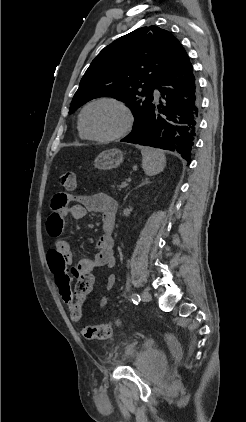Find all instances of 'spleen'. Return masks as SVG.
<instances>
[{
    "instance_id": "1",
    "label": "spleen",
    "mask_w": 246,
    "mask_h": 422,
    "mask_svg": "<svg viewBox=\"0 0 246 422\" xmlns=\"http://www.w3.org/2000/svg\"><path fill=\"white\" fill-rule=\"evenodd\" d=\"M141 153L143 157L142 167L147 175L153 176L163 171L166 166V157L162 151L143 147Z\"/></svg>"
}]
</instances>
